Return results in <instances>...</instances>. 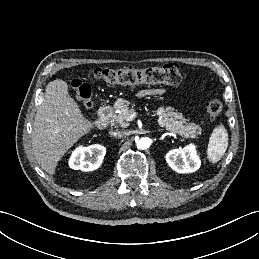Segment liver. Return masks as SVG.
Returning <instances> with one entry per match:
<instances>
[{
    "label": "liver",
    "mask_w": 259,
    "mask_h": 259,
    "mask_svg": "<svg viewBox=\"0 0 259 259\" xmlns=\"http://www.w3.org/2000/svg\"><path fill=\"white\" fill-rule=\"evenodd\" d=\"M93 127L70 97L67 83L61 79L49 82L32 130L33 154L38 164L53 175L66 151Z\"/></svg>",
    "instance_id": "liver-1"
}]
</instances>
